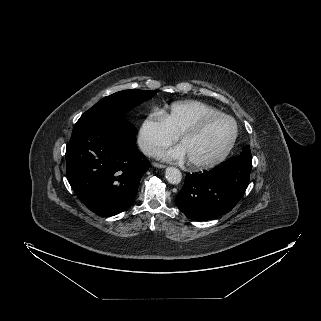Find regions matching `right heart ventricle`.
I'll use <instances>...</instances> for the list:
<instances>
[{"mask_svg":"<svg viewBox=\"0 0 321 321\" xmlns=\"http://www.w3.org/2000/svg\"><path fill=\"white\" fill-rule=\"evenodd\" d=\"M165 126L175 136L184 128L192 125L200 118L220 113L215 107L196 100L173 103L167 110L160 112Z\"/></svg>","mask_w":321,"mask_h":321,"instance_id":"1","label":"right heart ventricle"}]
</instances>
